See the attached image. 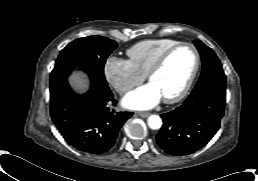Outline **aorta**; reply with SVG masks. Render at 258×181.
<instances>
[{
	"mask_svg": "<svg viewBox=\"0 0 258 181\" xmlns=\"http://www.w3.org/2000/svg\"><path fill=\"white\" fill-rule=\"evenodd\" d=\"M147 123L151 129L157 130L162 126V119L158 115H150L147 119Z\"/></svg>",
	"mask_w": 258,
	"mask_h": 181,
	"instance_id": "obj_1",
	"label": "aorta"
}]
</instances>
